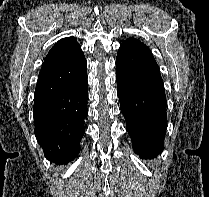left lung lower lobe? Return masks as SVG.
Instances as JSON below:
<instances>
[{
  "label": "left lung lower lobe",
  "mask_w": 209,
  "mask_h": 197,
  "mask_svg": "<svg viewBox=\"0 0 209 197\" xmlns=\"http://www.w3.org/2000/svg\"><path fill=\"white\" fill-rule=\"evenodd\" d=\"M116 80L135 153L144 159L156 157L164 147L167 102L159 66L144 43L132 38L120 45Z\"/></svg>",
  "instance_id": "1"
}]
</instances>
